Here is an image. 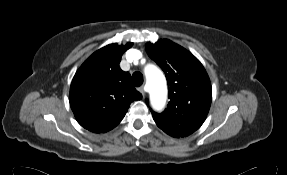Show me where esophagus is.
Wrapping results in <instances>:
<instances>
[{
    "label": "esophagus",
    "mask_w": 287,
    "mask_h": 175,
    "mask_svg": "<svg viewBox=\"0 0 287 175\" xmlns=\"http://www.w3.org/2000/svg\"><path fill=\"white\" fill-rule=\"evenodd\" d=\"M138 90L142 93L143 98L145 97L146 93L143 87L138 88Z\"/></svg>",
    "instance_id": "34e87169"
}]
</instances>
